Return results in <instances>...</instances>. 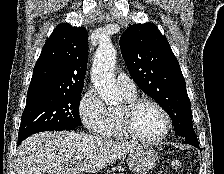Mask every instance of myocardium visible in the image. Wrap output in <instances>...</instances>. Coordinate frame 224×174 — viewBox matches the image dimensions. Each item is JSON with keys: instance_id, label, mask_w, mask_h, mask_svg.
Wrapping results in <instances>:
<instances>
[{"instance_id": "myocardium-1", "label": "myocardium", "mask_w": 224, "mask_h": 174, "mask_svg": "<svg viewBox=\"0 0 224 174\" xmlns=\"http://www.w3.org/2000/svg\"><path fill=\"white\" fill-rule=\"evenodd\" d=\"M150 104L154 106L163 116L165 120V129L157 137L149 138L144 137L136 132L133 126V116L136 110L144 105ZM118 123L122 133L129 139L144 142V143H158L164 140L170 133L172 128L171 118L165 108L157 101L151 98H134L132 100H127L126 103L123 105L121 111L116 113Z\"/></svg>"}]
</instances>
